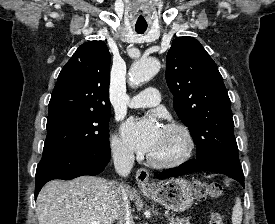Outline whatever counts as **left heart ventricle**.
Wrapping results in <instances>:
<instances>
[{
	"instance_id": "1",
	"label": "left heart ventricle",
	"mask_w": 275,
	"mask_h": 224,
	"mask_svg": "<svg viewBox=\"0 0 275 224\" xmlns=\"http://www.w3.org/2000/svg\"><path fill=\"white\" fill-rule=\"evenodd\" d=\"M183 147V140L177 132L163 128L161 139L150 156L159 160L171 159L178 156Z\"/></svg>"
}]
</instances>
